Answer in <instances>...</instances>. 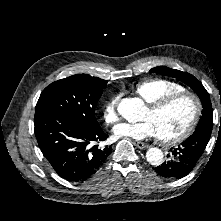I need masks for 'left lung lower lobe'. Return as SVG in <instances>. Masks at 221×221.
Wrapping results in <instances>:
<instances>
[{"label":"left lung lower lobe","mask_w":221,"mask_h":221,"mask_svg":"<svg viewBox=\"0 0 221 221\" xmlns=\"http://www.w3.org/2000/svg\"><path fill=\"white\" fill-rule=\"evenodd\" d=\"M211 133H194L177 148L171 150L168 155L169 160L154 170L165 178L179 179L188 175L196 166L206 145L210 139Z\"/></svg>","instance_id":"obj_1"}]
</instances>
